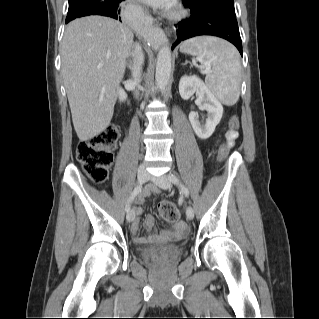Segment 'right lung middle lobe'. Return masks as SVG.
Listing matches in <instances>:
<instances>
[{
	"instance_id": "dd1d6c3e",
	"label": "right lung middle lobe",
	"mask_w": 319,
	"mask_h": 319,
	"mask_svg": "<svg viewBox=\"0 0 319 319\" xmlns=\"http://www.w3.org/2000/svg\"><path fill=\"white\" fill-rule=\"evenodd\" d=\"M103 1L111 0H69V12L66 19L73 20L79 12L84 11Z\"/></svg>"
}]
</instances>
